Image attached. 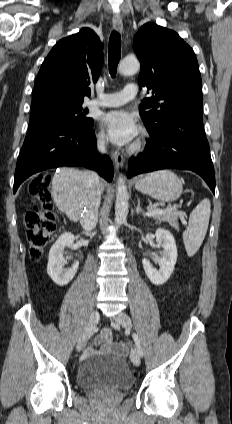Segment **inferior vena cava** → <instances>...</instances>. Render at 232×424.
I'll use <instances>...</instances> for the list:
<instances>
[{
  "label": "inferior vena cava",
  "mask_w": 232,
  "mask_h": 424,
  "mask_svg": "<svg viewBox=\"0 0 232 424\" xmlns=\"http://www.w3.org/2000/svg\"><path fill=\"white\" fill-rule=\"evenodd\" d=\"M98 149L105 153V142H98ZM87 176L91 181V189L88 195V200L84 210L81 213L80 224L85 231H91L96 227L98 221V208L100 205V182L95 172H87Z\"/></svg>",
  "instance_id": "inferior-vena-cava-1"
}]
</instances>
